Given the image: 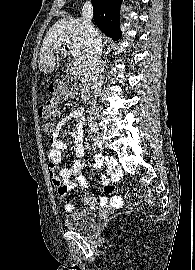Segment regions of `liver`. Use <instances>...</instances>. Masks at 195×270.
I'll return each mask as SVG.
<instances>
[{
	"label": "liver",
	"instance_id": "1",
	"mask_svg": "<svg viewBox=\"0 0 195 270\" xmlns=\"http://www.w3.org/2000/svg\"><path fill=\"white\" fill-rule=\"evenodd\" d=\"M69 39L73 49L80 50L85 56L87 49V33L82 18H63L58 20L47 32L40 50L39 69L45 74L51 73L55 68V51L61 48L63 40ZM64 44V43H63ZM67 52L62 49L61 55ZM49 79H47V82Z\"/></svg>",
	"mask_w": 195,
	"mask_h": 270
}]
</instances>
